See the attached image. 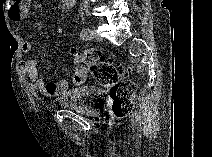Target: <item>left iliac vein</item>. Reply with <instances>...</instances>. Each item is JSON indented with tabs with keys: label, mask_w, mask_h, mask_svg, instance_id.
Segmentation results:
<instances>
[{
	"label": "left iliac vein",
	"mask_w": 212,
	"mask_h": 157,
	"mask_svg": "<svg viewBox=\"0 0 212 157\" xmlns=\"http://www.w3.org/2000/svg\"><path fill=\"white\" fill-rule=\"evenodd\" d=\"M92 36H93L96 40H99V41L102 40V37L100 36V34L97 32L96 29H93V30H92Z\"/></svg>",
	"instance_id": "left-iliac-vein-1"
}]
</instances>
